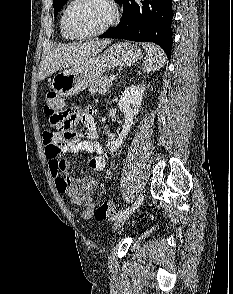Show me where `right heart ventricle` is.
<instances>
[{"label":"right heart ventricle","mask_w":233,"mask_h":294,"mask_svg":"<svg viewBox=\"0 0 233 294\" xmlns=\"http://www.w3.org/2000/svg\"><path fill=\"white\" fill-rule=\"evenodd\" d=\"M60 32H61V35H62V37L63 38H65V39H72L70 36H68L67 34H66V32L64 31V29H63V27H62V19H61V21H60Z\"/></svg>","instance_id":"obj_1"}]
</instances>
